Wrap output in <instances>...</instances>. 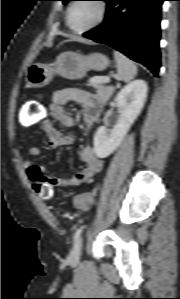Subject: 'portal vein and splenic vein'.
Wrapping results in <instances>:
<instances>
[{"mask_svg": "<svg viewBox=\"0 0 180 299\" xmlns=\"http://www.w3.org/2000/svg\"><path fill=\"white\" fill-rule=\"evenodd\" d=\"M109 81V78L108 77H106V79H105V82H108ZM113 89V88H112Z\"/></svg>", "mask_w": 180, "mask_h": 299, "instance_id": "18ae733b", "label": "portal vein and splenic vein"}]
</instances>
